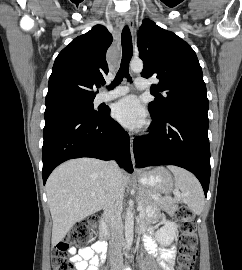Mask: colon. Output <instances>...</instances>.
Listing matches in <instances>:
<instances>
[{
	"label": "colon",
	"instance_id": "obj_1",
	"mask_svg": "<svg viewBox=\"0 0 242 270\" xmlns=\"http://www.w3.org/2000/svg\"><path fill=\"white\" fill-rule=\"evenodd\" d=\"M176 216L181 222L182 230L179 270H193L198 242L194 213L190 208L183 206L177 210ZM94 228L95 223L89 221L77 222L72 227L53 251V270H76L70 249L74 244L87 242Z\"/></svg>",
	"mask_w": 242,
	"mask_h": 270
}]
</instances>
